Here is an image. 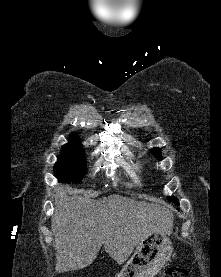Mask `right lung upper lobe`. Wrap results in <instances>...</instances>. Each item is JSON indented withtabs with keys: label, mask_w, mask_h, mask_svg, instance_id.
<instances>
[{
	"label": "right lung upper lobe",
	"mask_w": 221,
	"mask_h": 277,
	"mask_svg": "<svg viewBox=\"0 0 221 277\" xmlns=\"http://www.w3.org/2000/svg\"><path fill=\"white\" fill-rule=\"evenodd\" d=\"M72 139H71V141H77V137H76V134H72Z\"/></svg>",
	"instance_id": "cb5924a9"
}]
</instances>
